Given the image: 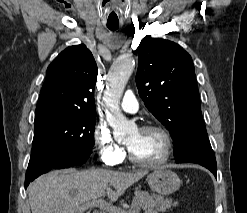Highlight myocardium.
I'll list each match as a JSON object with an SVG mask.
<instances>
[{"label": "myocardium", "instance_id": "f54148a6", "mask_svg": "<svg viewBox=\"0 0 247 213\" xmlns=\"http://www.w3.org/2000/svg\"><path fill=\"white\" fill-rule=\"evenodd\" d=\"M142 132H148V131H155L161 134L164 140L165 149L163 152V155L160 159H158L155 162H144L136 158L133 153L131 152L130 148L127 146V154L128 158L131 163H133L136 166L143 167V168H158L164 165L171 157L172 151H173V139L170 135V133L162 126L155 125V124H149L144 125L139 128Z\"/></svg>", "mask_w": 247, "mask_h": 213}]
</instances>
